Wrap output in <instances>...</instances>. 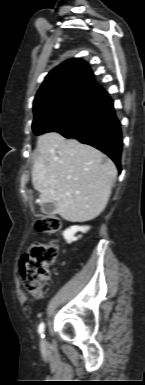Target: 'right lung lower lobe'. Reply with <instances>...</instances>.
<instances>
[{"instance_id": "obj_1", "label": "right lung lower lobe", "mask_w": 145, "mask_h": 385, "mask_svg": "<svg viewBox=\"0 0 145 385\" xmlns=\"http://www.w3.org/2000/svg\"><path fill=\"white\" fill-rule=\"evenodd\" d=\"M56 132L101 150L121 171L122 133L113 101L106 91L89 108Z\"/></svg>"}]
</instances>
